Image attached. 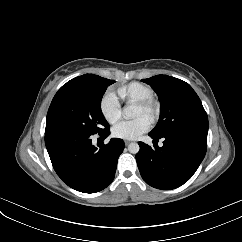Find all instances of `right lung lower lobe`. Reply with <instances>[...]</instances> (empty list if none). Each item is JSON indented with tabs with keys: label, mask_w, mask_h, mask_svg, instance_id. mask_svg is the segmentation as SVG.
<instances>
[{
	"label": "right lung lower lobe",
	"mask_w": 242,
	"mask_h": 242,
	"mask_svg": "<svg viewBox=\"0 0 242 242\" xmlns=\"http://www.w3.org/2000/svg\"><path fill=\"white\" fill-rule=\"evenodd\" d=\"M110 131L100 134L107 137ZM92 134L79 129L45 134V144L58 176L71 188L95 193L114 179L124 141L112 138L106 145L94 146Z\"/></svg>",
	"instance_id": "1"
}]
</instances>
